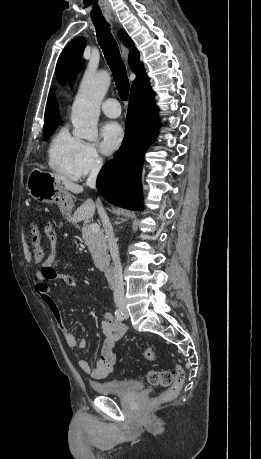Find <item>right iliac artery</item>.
I'll list each match as a JSON object with an SVG mask.
<instances>
[{
	"label": "right iliac artery",
	"mask_w": 261,
	"mask_h": 459,
	"mask_svg": "<svg viewBox=\"0 0 261 459\" xmlns=\"http://www.w3.org/2000/svg\"><path fill=\"white\" fill-rule=\"evenodd\" d=\"M115 316L119 321H123L124 320V314H123V312L121 310L117 309L115 311Z\"/></svg>",
	"instance_id": "1"
}]
</instances>
